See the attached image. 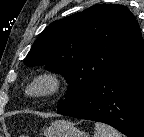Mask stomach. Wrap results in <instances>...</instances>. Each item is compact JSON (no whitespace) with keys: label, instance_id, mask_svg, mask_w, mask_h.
Instances as JSON below:
<instances>
[{"label":"stomach","instance_id":"1","mask_svg":"<svg viewBox=\"0 0 144 137\" xmlns=\"http://www.w3.org/2000/svg\"><path fill=\"white\" fill-rule=\"evenodd\" d=\"M45 137H89L87 133L77 129L72 123L64 120H56L43 130Z\"/></svg>","mask_w":144,"mask_h":137}]
</instances>
